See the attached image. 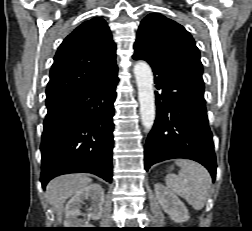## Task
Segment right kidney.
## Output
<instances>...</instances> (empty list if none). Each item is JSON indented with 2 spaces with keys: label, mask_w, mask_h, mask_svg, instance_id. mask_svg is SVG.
Instances as JSON below:
<instances>
[{
  "label": "right kidney",
  "mask_w": 252,
  "mask_h": 231,
  "mask_svg": "<svg viewBox=\"0 0 252 231\" xmlns=\"http://www.w3.org/2000/svg\"><path fill=\"white\" fill-rule=\"evenodd\" d=\"M85 200L91 201L90 212L87 218L79 219L80 208ZM105 202L104 190L99 184H91L77 192L66 204L64 225L67 228H88L89 221L98 220L103 213Z\"/></svg>",
  "instance_id": "obj_1"
}]
</instances>
